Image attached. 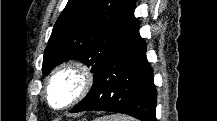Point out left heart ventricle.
I'll return each mask as SVG.
<instances>
[{
	"label": "left heart ventricle",
	"mask_w": 217,
	"mask_h": 121,
	"mask_svg": "<svg viewBox=\"0 0 217 121\" xmlns=\"http://www.w3.org/2000/svg\"><path fill=\"white\" fill-rule=\"evenodd\" d=\"M78 81L75 76L65 74L59 77L51 88V101L55 106L65 104L77 89Z\"/></svg>",
	"instance_id": "b2bd125f"
}]
</instances>
